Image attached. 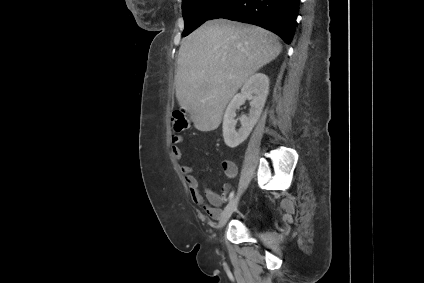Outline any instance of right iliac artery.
<instances>
[{"label":"right iliac artery","instance_id":"obj_1","mask_svg":"<svg viewBox=\"0 0 424 283\" xmlns=\"http://www.w3.org/2000/svg\"><path fill=\"white\" fill-rule=\"evenodd\" d=\"M233 197H234V191H232V192L230 193V195H229V201H231Z\"/></svg>","mask_w":424,"mask_h":283}]
</instances>
